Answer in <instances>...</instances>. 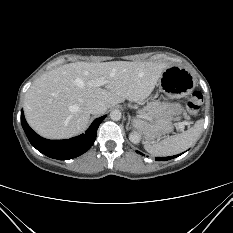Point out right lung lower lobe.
<instances>
[{"label": "right lung lower lobe", "mask_w": 233, "mask_h": 233, "mask_svg": "<svg viewBox=\"0 0 233 233\" xmlns=\"http://www.w3.org/2000/svg\"><path fill=\"white\" fill-rule=\"evenodd\" d=\"M106 116L93 121L84 134L65 140H48L36 134L27 124L23 110L21 111V123L27 138L32 146L48 157L68 160L85 153L94 143L97 129Z\"/></svg>", "instance_id": "1"}]
</instances>
